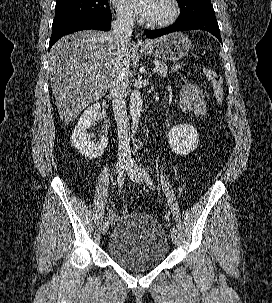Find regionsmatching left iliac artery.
Returning a JSON list of instances; mask_svg holds the SVG:
<instances>
[{
    "mask_svg": "<svg viewBox=\"0 0 272 303\" xmlns=\"http://www.w3.org/2000/svg\"><path fill=\"white\" fill-rule=\"evenodd\" d=\"M140 169H141V171H142V175H143V178H144L146 184L149 186L150 189L154 190V184H153V181H152L151 177H150L149 174L145 171V169L142 168L141 165H140ZM171 231L177 232V230H176L175 227H172V228H171Z\"/></svg>",
    "mask_w": 272,
    "mask_h": 303,
    "instance_id": "44dca946",
    "label": "left iliac artery"
}]
</instances>
